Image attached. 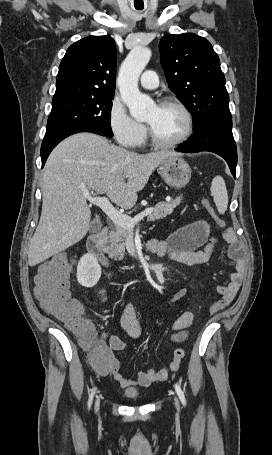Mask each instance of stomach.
Instances as JSON below:
<instances>
[{
  "instance_id": "stomach-1",
  "label": "stomach",
  "mask_w": 272,
  "mask_h": 455,
  "mask_svg": "<svg viewBox=\"0 0 272 455\" xmlns=\"http://www.w3.org/2000/svg\"><path fill=\"white\" fill-rule=\"evenodd\" d=\"M164 181L173 188L185 187L191 177L189 164L179 156H170L164 159L158 168Z\"/></svg>"
}]
</instances>
